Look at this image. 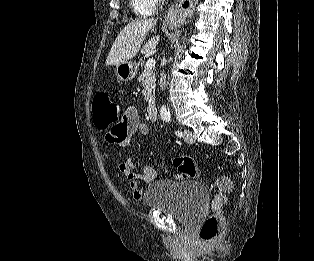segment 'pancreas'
Here are the masks:
<instances>
[{
    "mask_svg": "<svg viewBox=\"0 0 314 261\" xmlns=\"http://www.w3.org/2000/svg\"><path fill=\"white\" fill-rule=\"evenodd\" d=\"M138 81L143 86V96L145 97V101L147 103H153L155 101V82H156V74L154 70L144 68L141 74L138 77Z\"/></svg>",
    "mask_w": 314,
    "mask_h": 261,
    "instance_id": "pancreas-1",
    "label": "pancreas"
}]
</instances>
